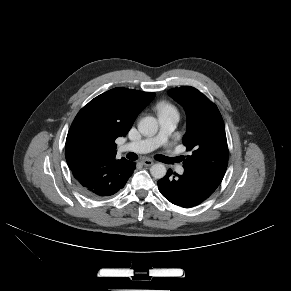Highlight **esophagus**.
<instances>
[{
	"instance_id": "34e87169",
	"label": "esophagus",
	"mask_w": 291,
	"mask_h": 291,
	"mask_svg": "<svg viewBox=\"0 0 291 291\" xmlns=\"http://www.w3.org/2000/svg\"><path fill=\"white\" fill-rule=\"evenodd\" d=\"M141 163L143 164V165H145V166H151V165H153L154 164V161L153 160H151V159H143L142 161H141Z\"/></svg>"
}]
</instances>
